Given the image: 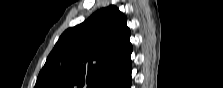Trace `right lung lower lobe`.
<instances>
[{"label": "right lung lower lobe", "instance_id": "1", "mask_svg": "<svg viewBox=\"0 0 223 88\" xmlns=\"http://www.w3.org/2000/svg\"><path fill=\"white\" fill-rule=\"evenodd\" d=\"M130 86H131V80H130L127 84H125V85L123 86V88H130Z\"/></svg>", "mask_w": 223, "mask_h": 88}]
</instances>
